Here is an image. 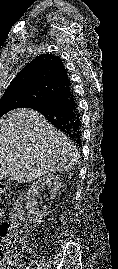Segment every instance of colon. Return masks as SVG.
<instances>
[{
  "mask_svg": "<svg viewBox=\"0 0 118 269\" xmlns=\"http://www.w3.org/2000/svg\"><path fill=\"white\" fill-rule=\"evenodd\" d=\"M1 191L3 187L0 181ZM26 235L27 223L23 209L19 204H14L9 219L1 225L0 269H18L15 248L24 242Z\"/></svg>",
  "mask_w": 118,
  "mask_h": 269,
  "instance_id": "obj_1",
  "label": "colon"
}]
</instances>
